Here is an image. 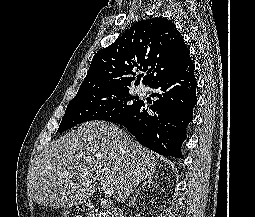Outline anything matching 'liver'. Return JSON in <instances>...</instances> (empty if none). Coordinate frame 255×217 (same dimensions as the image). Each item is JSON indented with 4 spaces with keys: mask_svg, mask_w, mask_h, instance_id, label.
Segmentation results:
<instances>
[{
    "mask_svg": "<svg viewBox=\"0 0 255 217\" xmlns=\"http://www.w3.org/2000/svg\"><path fill=\"white\" fill-rule=\"evenodd\" d=\"M155 168L153 153L118 126L86 122L38 155L30 181L32 198L43 206L73 207L105 179L122 203Z\"/></svg>",
    "mask_w": 255,
    "mask_h": 217,
    "instance_id": "1",
    "label": "liver"
}]
</instances>
